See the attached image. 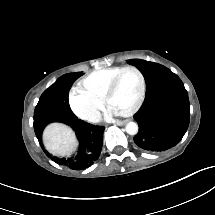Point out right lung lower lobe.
I'll return each instance as SVG.
<instances>
[{"mask_svg": "<svg viewBox=\"0 0 215 215\" xmlns=\"http://www.w3.org/2000/svg\"><path fill=\"white\" fill-rule=\"evenodd\" d=\"M51 122H62L75 130L79 140V148L75 155L69 158H58L49 154L42 144V132L45 126ZM36 137L45 154L54 162L66 165L73 170H83L91 166L98 158L103 144V127L93 126L82 120L67 118L64 116H52L34 121Z\"/></svg>", "mask_w": 215, "mask_h": 215, "instance_id": "right-lung-lower-lobe-1", "label": "right lung lower lobe"}]
</instances>
